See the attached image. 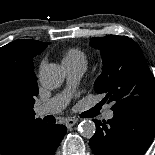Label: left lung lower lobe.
Wrapping results in <instances>:
<instances>
[{
    "label": "left lung lower lobe",
    "instance_id": "obj_1",
    "mask_svg": "<svg viewBox=\"0 0 155 155\" xmlns=\"http://www.w3.org/2000/svg\"><path fill=\"white\" fill-rule=\"evenodd\" d=\"M96 132L89 145L95 155H144L155 136V106H138L94 120Z\"/></svg>",
    "mask_w": 155,
    "mask_h": 155
}]
</instances>
